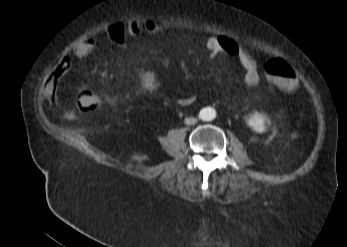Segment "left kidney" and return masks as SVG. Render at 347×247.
Here are the masks:
<instances>
[{"mask_svg": "<svg viewBox=\"0 0 347 247\" xmlns=\"http://www.w3.org/2000/svg\"><path fill=\"white\" fill-rule=\"evenodd\" d=\"M270 121L268 117L263 113H253L247 119V124L250 126L255 132L263 133L266 131V126Z\"/></svg>", "mask_w": 347, "mask_h": 247, "instance_id": "1", "label": "left kidney"}]
</instances>
